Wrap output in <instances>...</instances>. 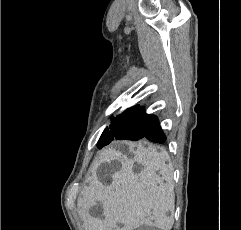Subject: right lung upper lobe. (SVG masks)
I'll return each instance as SVG.
<instances>
[{
	"label": "right lung upper lobe",
	"mask_w": 241,
	"mask_h": 230,
	"mask_svg": "<svg viewBox=\"0 0 241 230\" xmlns=\"http://www.w3.org/2000/svg\"><path fill=\"white\" fill-rule=\"evenodd\" d=\"M134 111L139 112L141 111V107L139 105L132 107L130 109H127L125 112H123L122 114H130L133 113Z\"/></svg>",
	"instance_id": "right-lung-upper-lobe-1"
}]
</instances>
